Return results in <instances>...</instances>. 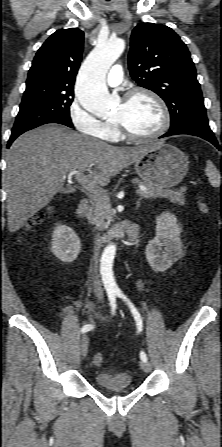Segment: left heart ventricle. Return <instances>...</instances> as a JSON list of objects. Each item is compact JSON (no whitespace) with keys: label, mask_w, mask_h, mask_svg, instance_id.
Masks as SVG:
<instances>
[{"label":"left heart ventricle","mask_w":222,"mask_h":447,"mask_svg":"<svg viewBox=\"0 0 222 447\" xmlns=\"http://www.w3.org/2000/svg\"><path fill=\"white\" fill-rule=\"evenodd\" d=\"M114 119L122 121L138 135L154 133L162 123L159 107L146 95H138L128 102H121L115 111Z\"/></svg>","instance_id":"obj_1"}]
</instances>
